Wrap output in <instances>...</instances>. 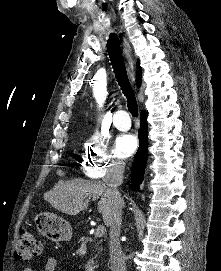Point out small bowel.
Instances as JSON below:
<instances>
[{
  "instance_id": "c3829d8e",
  "label": "small bowel",
  "mask_w": 221,
  "mask_h": 271,
  "mask_svg": "<svg viewBox=\"0 0 221 271\" xmlns=\"http://www.w3.org/2000/svg\"><path fill=\"white\" fill-rule=\"evenodd\" d=\"M56 267H57V260L52 256L47 257V259L43 265V270L44 271H55ZM23 271H33V269L27 267V268H24Z\"/></svg>"
}]
</instances>
